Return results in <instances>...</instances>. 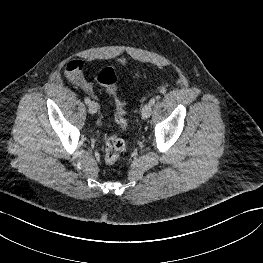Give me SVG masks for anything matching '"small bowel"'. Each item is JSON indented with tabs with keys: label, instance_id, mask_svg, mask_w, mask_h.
I'll list each match as a JSON object with an SVG mask.
<instances>
[{
	"label": "small bowel",
	"instance_id": "obj_1",
	"mask_svg": "<svg viewBox=\"0 0 263 263\" xmlns=\"http://www.w3.org/2000/svg\"><path fill=\"white\" fill-rule=\"evenodd\" d=\"M66 78L76 87L80 88L86 93L92 92V87L85 80L84 77V62L80 59L69 61L64 69Z\"/></svg>",
	"mask_w": 263,
	"mask_h": 263
}]
</instances>
